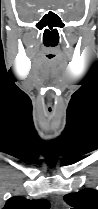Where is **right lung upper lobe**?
I'll list each match as a JSON object with an SVG mask.
<instances>
[{"instance_id":"obj_1","label":"right lung upper lobe","mask_w":98,"mask_h":209,"mask_svg":"<svg viewBox=\"0 0 98 209\" xmlns=\"http://www.w3.org/2000/svg\"><path fill=\"white\" fill-rule=\"evenodd\" d=\"M50 203L45 199L28 200L23 197H12L7 200L3 209H49Z\"/></svg>"}]
</instances>
